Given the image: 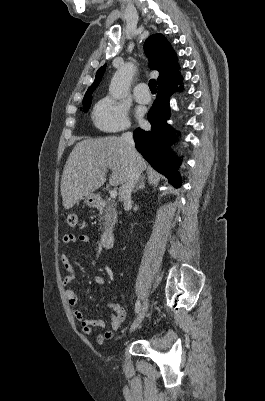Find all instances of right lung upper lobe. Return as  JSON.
<instances>
[{"instance_id": "1", "label": "right lung upper lobe", "mask_w": 265, "mask_h": 401, "mask_svg": "<svg viewBox=\"0 0 265 401\" xmlns=\"http://www.w3.org/2000/svg\"><path fill=\"white\" fill-rule=\"evenodd\" d=\"M144 50L151 59L150 68L158 70L160 73L157 78L158 89L170 88L181 82L182 78L180 73L177 72L179 66L176 61V55L162 34L151 35L145 42ZM105 68L106 65L97 71L95 81L87 90L83 101L92 98L91 94L99 85Z\"/></svg>"}]
</instances>
